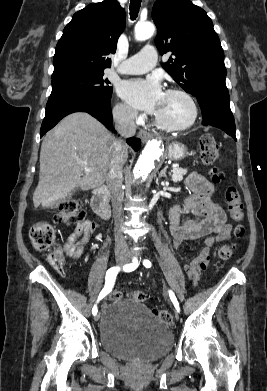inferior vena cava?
<instances>
[{"mask_svg":"<svg viewBox=\"0 0 267 391\" xmlns=\"http://www.w3.org/2000/svg\"><path fill=\"white\" fill-rule=\"evenodd\" d=\"M137 114L133 111H123L114 114L115 129L123 138L132 137L136 132L135 118ZM127 150L123 140H115L112 145L108 170V186L112 196V207L115 216V224L118 226L122 211L123 193L121 185L123 181L122 168L124 164V152ZM127 243L120 231L115 234V251L126 252Z\"/></svg>","mask_w":267,"mask_h":391,"instance_id":"obj_1","label":"inferior vena cava"}]
</instances>
